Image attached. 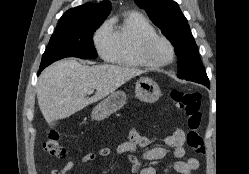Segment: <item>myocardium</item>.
Instances as JSON below:
<instances>
[{
  "mask_svg": "<svg viewBox=\"0 0 249 174\" xmlns=\"http://www.w3.org/2000/svg\"><path fill=\"white\" fill-rule=\"evenodd\" d=\"M158 42H163L168 46L170 51L168 58L160 59L154 56L153 48ZM138 54L143 61L155 68H159L170 64L174 60L176 53L173 43L167 37L155 33L147 35L141 40L138 46Z\"/></svg>",
  "mask_w": 249,
  "mask_h": 174,
  "instance_id": "f54148a6",
  "label": "myocardium"
}]
</instances>
